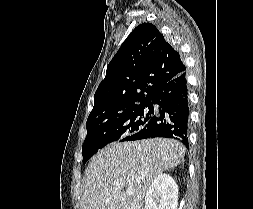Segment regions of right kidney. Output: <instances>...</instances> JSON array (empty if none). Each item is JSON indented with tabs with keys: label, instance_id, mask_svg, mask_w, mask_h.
<instances>
[{
	"label": "right kidney",
	"instance_id": "1",
	"mask_svg": "<svg viewBox=\"0 0 253 209\" xmlns=\"http://www.w3.org/2000/svg\"><path fill=\"white\" fill-rule=\"evenodd\" d=\"M178 186L169 174H159L149 186L144 209H177Z\"/></svg>",
	"mask_w": 253,
	"mask_h": 209
}]
</instances>
